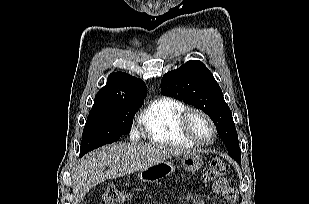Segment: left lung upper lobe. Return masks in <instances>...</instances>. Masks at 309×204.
<instances>
[{
    "label": "left lung upper lobe",
    "instance_id": "left-lung-upper-lobe-1",
    "mask_svg": "<svg viewBox=\"0 0 309 204\" xmlns=\"http://www.w3.org/2000/svg\"><path fill=\"white\" fill-rule=\"evenodd\" d=\"M161 91L204 111L217 130H221L220 137L229 149L228 154L240 162L241 151L231 110L224 101L220 86L202 62L188 61L166 73L161 81Z\"/></svg>",
    "mask_w": 309,
    "mask_h": 204
}]
</instances>
